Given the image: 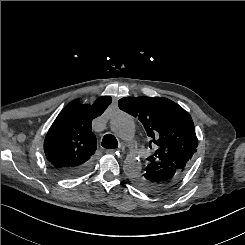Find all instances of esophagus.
I'll return each mask as SVG.
<instances>
[{
  "instance_id": "34e87169",
  "label": "esophagus",
  "mask_w": 245,
  "mask_h": 245,
  "mask_svg": "<svg viewBox=\"0 0 245 245\" xmlns=\"http://www.w3.org/2000/svg\"><path fill=\"white\" fill-rule=\"evenodd\" d=\"M106 153L107 154H115L117 152L114 149H108V150H106Z\"/></svg>"
}]
</instances>
